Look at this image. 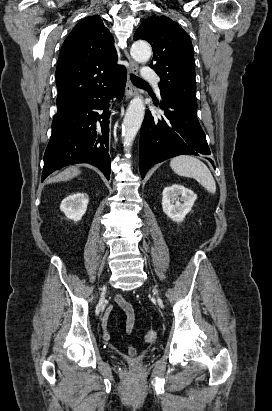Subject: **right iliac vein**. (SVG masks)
Listing matches in <instances>:
<instances>
[{"label":"right iliac vein","instance_id":"right-iliac-vein-1","mask_svg":"<svg viewBox=\"0 0 272 411\" xmlns=\"http://www.w3.org/2000/svg\"><path fill=\"white\" fill-rule=\"evenodd\" d=\"M100 304H103V299H101Z\"/></svg>","mask_w":272,"mask_h":411}]
</instances>
